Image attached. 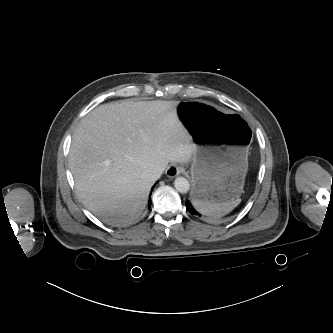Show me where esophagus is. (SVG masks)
Instances as JSON below:
<instances>
[{
  "mask_svg": "<svg viewBox=\"0 0 333 333\" xmlns=\"http://www.w3.org/2000/svg\"><path fill=\"white\" fill-rule=\"evenodd\" d=\"M184 171L182 166L176 165V164H171L168 169L166 170V175L169 178H174L177 175L181 174Z\"/></svg>",
  "mask_w": 333,
  "mask_h": 333,
  "instance_id": "obj_1",
  "label": "esophagus"
}]
</instances>
